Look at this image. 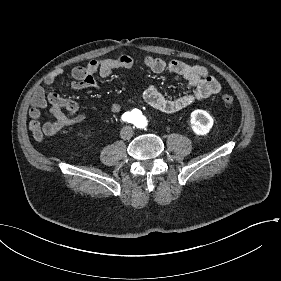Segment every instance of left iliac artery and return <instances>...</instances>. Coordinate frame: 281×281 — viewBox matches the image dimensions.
Wrapping results in <instances>:
<instances>
[{"label":"left iliac artery","instance_id":"left-iliac-artery-1","mask_svg":"<svg viewBox=\"0 0 281 281\" xmlns=\"http://www.w3.org/2000/svg\"><path fill=\"white\" fill-rule=\"evenodd\" d=\"M138 116V111L134 110V117L136 118Z\"/></svg>","mask_w":281,"mask_h":281}]
</instances>
